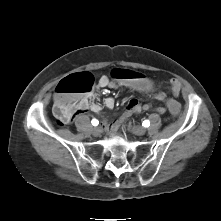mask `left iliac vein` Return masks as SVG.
<instances>
[{
	"instance_id": "left-iliac-vein-1",
	"label": "left iliac vein",
	"mask_w": 221,
	"mask_h": 221,
	"mask_svg": "<svg viewBox=\"0 0 221 221\" xmlns=\"http://www.w3.org/2000/svg\"><path fill=\"white\" fill-rule=\"evenodd\" d=\"M128 128L133 134L138 136H142L146 133V129L141 126L129 125Z\"/></svg>"
}]
</instances>
